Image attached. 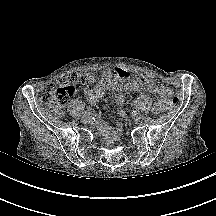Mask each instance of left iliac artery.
I'll return each mask as SVG.
<instances>
[{
  "label": "left iliac artery",
  "mask_w": 216,
  "mask_h": 216,
  "mask_svg": "<svg viewBox=\"0 0 216 216\" xmlns=\"http://www.w3.org/2000/svg\"><path fill=\"white\" fill-rule=\"evenodd\" d=\"M132 114H137V109H132Z\"/></svg>",
  "instance_id": "44dca946"
}]
</instances>
